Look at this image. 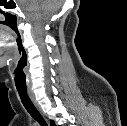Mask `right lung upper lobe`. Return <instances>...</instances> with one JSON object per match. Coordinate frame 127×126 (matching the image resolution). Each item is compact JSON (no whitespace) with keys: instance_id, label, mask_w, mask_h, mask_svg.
Masks as SVG:
<instances>
[{"instance_id":"cb5924a9","label":"right lung upper lobe","mask_w":127,"mask_h":126,"mask_svg":"<svg viewBox=\"0 0 127 126\" xmlns=\"http://www.w3.org/2000/svg\"><path fill=\"white\" fill-rule=\"evenodd\" d=\"M51 125H52V126H55V123H54V121H51Z\"/></svg>"}]
</instances>
